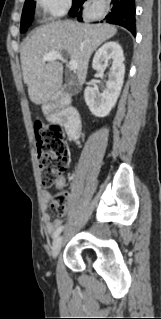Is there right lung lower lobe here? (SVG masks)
I'll return each mask as SVG.
<instances>
[{
  "instance_id": "1",
  "label": "right lung lower lobe",
  "mask_w": 161,
  "mask_h": 319,
  "mask_svg": "<svg viewBox=\"0 0 161 319\" xmlns=\"http://www.w3.org/2000/svg\"><path fill=\"white\" fill-rule=\"evenodd\" d=\"M86 0H76L73 2L69 15L82 21V4ZM111 11L105 17L104 21L112 24H118L127 28L133 35L135 32V2L134 0H111Z\"/></svg>"
}]
</instances>
